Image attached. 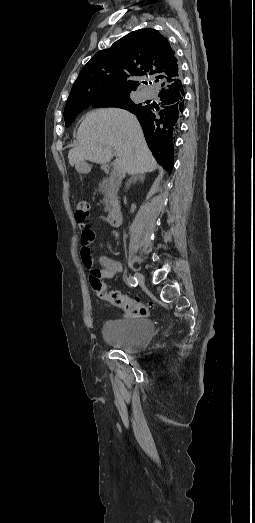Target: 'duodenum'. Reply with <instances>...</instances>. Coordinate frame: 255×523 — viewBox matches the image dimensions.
<instances>
[{"instance_id":"duodenum-1","label":"duodenum","mask_w":255,"mask_h":523,"mask_svg":"<svg viewBox=\"0 0 255 523\" xmlns=\"http://www.w3.org/2000/svg\"><path fill=\"white\" fill-rule=\"evenodd\" d=\"M107 222L113 227L120 226L122 222V212L117 206L113 207L107 215Z\"/></svg>"}]
</instances>
